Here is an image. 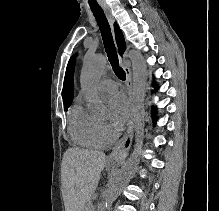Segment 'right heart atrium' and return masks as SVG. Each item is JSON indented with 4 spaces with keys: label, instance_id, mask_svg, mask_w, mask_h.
I'll list each match as a JSON object with an SVG mask.
<instances>
[{
    "label": "right heart atrium",
    "instance_id": "1",
    "mask_svg": "<svg viewBox=\"0 0 219 211\" xmlns=\"http://www.w3.org/2000/svg\"><path fill=\"white\" fill-rule=\"evenodd\" d=\"M99 128H100V133H101V137L103 139V142L105 144L112 143L114 138H115V133H114L112 127L106 122H100Z\"/></svg>",
    "mask_w": 219,
    "mask_h": 211
}]
</instances>
